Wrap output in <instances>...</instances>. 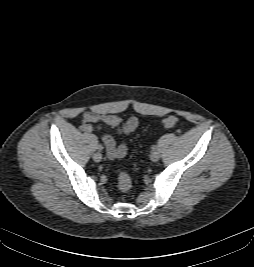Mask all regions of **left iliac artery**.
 Instances as JSON below:
<instances>
[{
  "label": "left iliac artery",
  "instance_id": "obj_1",
  "mask_svg": "<svg viewBox=\"0 0 254 267\" xmlns=\"http://www.w3.org/2000/svg\"><path fill=\"white\" fill-rule=\"evenodd\" d=\"M152 150H153V151L157 150V146H156V145H153V146H152Z\"/></svg>",
  "mask_w": 254,
  "mask_h": 267
}]
</instances>
